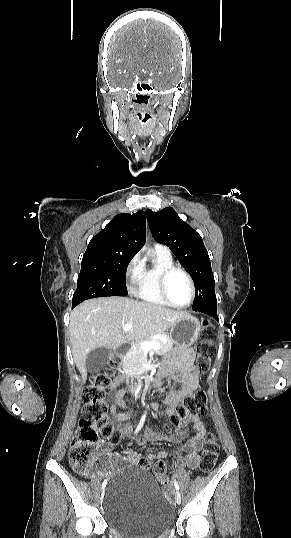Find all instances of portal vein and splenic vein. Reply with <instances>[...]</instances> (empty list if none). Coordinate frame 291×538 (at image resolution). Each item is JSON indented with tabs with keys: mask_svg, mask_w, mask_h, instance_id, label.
Segmentation results:
<instances>
[{
	"mask_svg": "<svg viewBox=\"0 0 291 538\" xmlns=\"http://www.w3.org/2000/svg\"><path fill=\"white\" fill-rule=\"evenodd\" d=\"M131 329H132V324L130 323H125V325L123 326V331L131 330ZM141 348L144 351H149L152 349L157 350L160 348V344L158 342H142Z\"/></svg>",
	"mask_w": 291,
	"mask_h": 538,
	"instance_id": "1",
	"label": "portal vein and splenic vein"
}]
</instances>
